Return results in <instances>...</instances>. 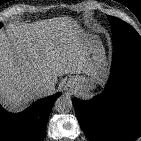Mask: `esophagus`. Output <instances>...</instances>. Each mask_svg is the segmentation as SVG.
<instances>
[{"mask_svg": "<svg viewBox=\"0 0 141 141\" xmlns=\"http://www.w3.org/2000/svg\"><path fill=\"white\" fill-rule=\"evenodd\" d=\"M72 87H73L72 83H67L66 86H65V89L70 90Z\"/></svg>", "mask_w": 141, "mask_h": 141, "instance_id": "esophagus-1", "label": "esophagus"}]
</instances>
